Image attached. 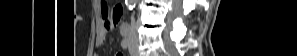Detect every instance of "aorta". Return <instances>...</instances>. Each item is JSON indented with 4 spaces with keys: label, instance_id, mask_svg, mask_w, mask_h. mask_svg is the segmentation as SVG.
I'll return each mask as SVG.
<instances>
[{
    "label": "aorta",
    "instance_id": "obj_1",
    "mask_svg": "<svg viewBox=\"0 0 297 56\" xmlns=\"http://www.w3.org/2000/svg\"><path fill=\"white\" fill-rule=\"evenodd\" d=\"M127 6L132 9L135 5L136 0H126Z\"/></svg>",
    "mask_w": 297,
    "mask_h": 56
}]
</instances>
